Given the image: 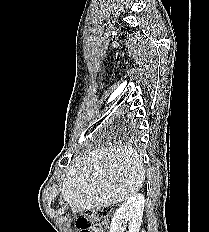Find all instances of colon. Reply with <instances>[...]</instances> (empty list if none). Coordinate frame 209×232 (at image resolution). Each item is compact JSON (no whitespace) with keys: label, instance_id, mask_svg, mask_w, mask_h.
<instances>
[{"label":"colon","instance_id":"colon-1","mask_svg":"<svg viewBox=\"0 0 209 232\" xmlns=\"http://www.w3.org/2000/svg\"><path fill=\"white\" fill-rule=\"evenodd\" d=\"M109 215L107 207L87 210L76 218V227L80 232H106Z\"/></svg>","mask_w":209,"mask_h":232}]
</instances>
